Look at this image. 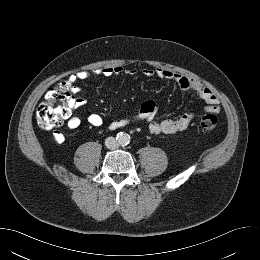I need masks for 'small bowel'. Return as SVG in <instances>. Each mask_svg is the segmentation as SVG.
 Returning a JSON list of instances; mask_svg holds the SVG:
<instances>
[{"label":"small bowel","instance_id":"obj_1","mask_svg":"<svg viewBox=\"0 0 260 260\" xmlns=\"http://www.w3.org/2000/svg\"><path fill=\"white\" fill-rule=\"evenodd\" d=\"M122 73L135 76L138 71L135 68L124 69L122 66H106L92 71H78L71 75L70 80L73 84H76L78 81L86 80L92 77H112ZM141 73L147 78L158 77L172 80L177 84L179 89L183 91L190 90L195 92L205 102L206 106L204 111L206 112H217L220 109L219 99L216 94L209 87L198 80L174 73L165 68L146 67L142 69ZM75 90H78L77 86H75ZM81 105L82 100L78 98H75L70 104L69 112L65 117L67 126L70 129H76L81 124V119L72 113ZM155 117L156 104L153 101L147 100L141 104L136 114L131 117L113 120L108 124V128L110 130H116L131 123L143 121L148 124L150 132L154 135L173 134L185 130L193 121L194 114L189 112L176 118H165L159 121L155 120ZM88 122L96 127L103 124L102 117L97 113L90 114L88 116ZM54 136L57 142H62L64 140V136L60 132L55 133Z\"/></svg>","mask_w":260,"mask_h":260}]
</instances>
